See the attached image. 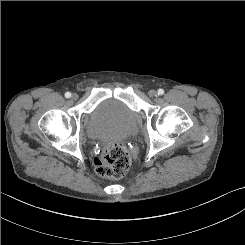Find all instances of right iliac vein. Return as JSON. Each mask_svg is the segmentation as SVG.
<instances>
[{
    "label": "right iliac vein",
    "instance_id": "1",
    "mask_svg": "<svg viewBox=\"0 0 245 245\" xmlns=\"http://www.w3.org/2000/svg\"><path fill=\"white\" fill-rule=\"evenodd\" d=\"M71 99H72V100H77V99H78V95H77L76 93H73V94L71 95Z\"/></svg>",
    "mask_w": 245,
    "mask_h": 245
}]
</instances>
